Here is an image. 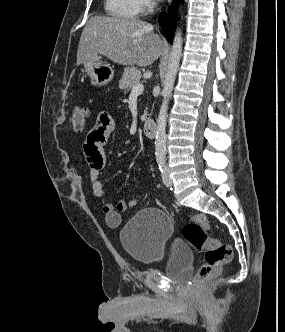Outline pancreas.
Listing matches in <instances>:
<instances>
[{
    "instance_id": "pancreas-1",
    "label": "pancreas",
    "mask_w": 285,
    "mask_h": 332,
    "mask_svg": "<svg viewBox=\"0 0 285 332\" xmlns=\"http://www.w3.org/2000/svg\"><path fill=\"white\" fill-rule=\"evenodd\" d=\"M141 72L136 67H127L124 69V72L121 75V79L119 81V87L125 93L132 89L133 86L140 83ZM146 116V112L144 113Z\"/></svg>"
}]
</instances>
